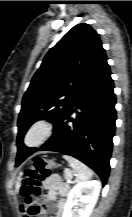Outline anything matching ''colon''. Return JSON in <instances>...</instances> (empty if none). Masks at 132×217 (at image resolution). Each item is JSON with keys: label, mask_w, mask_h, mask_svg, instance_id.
<instances>
[{"label": "colon", "mask_w": 132, "mask_h": 217, "mask_svg": "<svg viewBox=\"0 0 132 217\" xmlns=\"http://www.w3.org/2000/svg\"><path fill=\"white\" fill-rule=\"evenodd\" d=\"M53 167L52 161L40 156L33 157L22 180V196L29 199L32 195H38L42 181L50 175ZM39 213L40 207L38 206H32L28 211L29 217H37Z\"/></svg>", "instance_id": "obj_1"}]
</instances>
